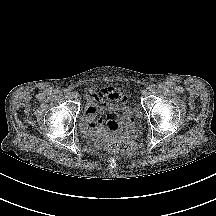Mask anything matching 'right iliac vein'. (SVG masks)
<instances>
[{
    "label": "right iliac vein",
    "mask_w": 216,
    "mask_h": 216,
    "mask_svg": "<svg viewBox=\"0 0 216 216\" xmlns=\"http://www.w3.org/2000/svg\"><path fill=\"white\" fill-rule=\"evenodd\" d=\"M69 96L70 98L75 99L77 98L78 94L76 92H70Z\"/></svg>",
    "instance_id": "1"
}]
</instances>
